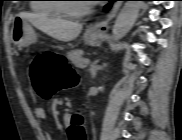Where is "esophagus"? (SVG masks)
Masks as SVG:
<instances>
[{"instance_id":"obj_1","label":"esophagus","mask_w":182,"mask_h":140,"mask_svg":"<svg viewBox=\"0 0 182 140\" xmlns=\"http://www.w3.org/2000/svg\"><path fill=\"white\" fill-rule=\"evenodd\" d=\"M121 7V2L116 1L104 19L95 23L90 27V31L96 34L103 35L108 31L110 21L117 15Z\"/></svg>"}]
</instances>
